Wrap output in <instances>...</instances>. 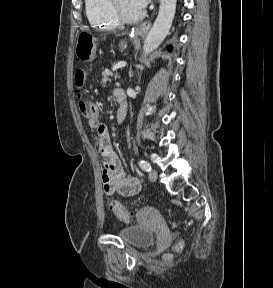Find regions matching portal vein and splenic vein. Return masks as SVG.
I'll return each mask as SVG.
<instances>
[{"mask_svg": "<svg viewBox=\"0 0 273 288\" xmlns=\"http://www.w3.org/2000/svg\"><path fill=\"white\" fill-rule=\"evenodd\" d=\"M125 65H126V62H119L118 64H116V65L113 67V70H116L117 68L125 67Z\"/></svg>", "mask_w": 273, "mask_h": 288, "instance_id": "1", "label": "portal vein and splenic vein"}]
</instances>
